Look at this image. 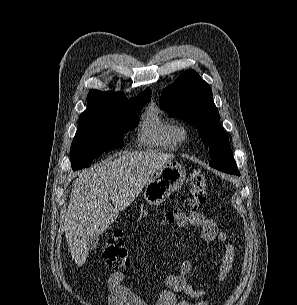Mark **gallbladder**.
Segmentation results:
<instances>
[{"label":"gallbladder","mask_w":297,"mask_h":305,"mask_svg":"<svg viewBox=\"0 0 297 305\" xmlns=\"http://www.w3.org/2000/svg\"><path fill=\"white\" fill-rule=\"evenodd\" d=\"M85 242H86L89 250H94L98 245V236L87 234L85 236Z\"/></svg>","instance_id":"obj_1"}]
</instances>
